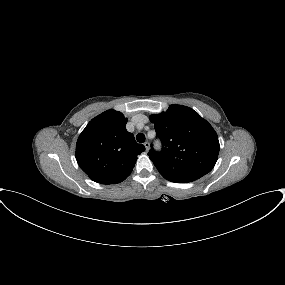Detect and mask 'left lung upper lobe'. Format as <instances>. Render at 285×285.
<instances>
[{"mask_svg":"<svg viewBox=\"0 0 285 285\" xmlns=\"http://www.w3.org/2000/svg\"><path fill=\"white\" fill-rule=\"evenodd\" d=\"M162 150L148 155L160 174L172 182L195 181L210 172L218 158L219 141L212 126L193 109L170 105L150 116Z\"/></svg>","mask_w":285,"mask_h":285,"instance_id":"obj_1","label":"left lung upper lobe"}]
</instances>
